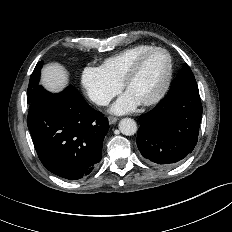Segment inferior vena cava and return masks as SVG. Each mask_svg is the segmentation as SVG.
<instances>
[{
	"label": "inferior vena cava",
	"instance_id": "1",
	"mask_svg": "<svg viewBox=\"0 0 232 232\" xmlns=\"http://www.w3.org/2000/svg\"><path fill=\"white\" fill-rule=\"evenodd\" d=\"M109 102H110V98L104 96L98 97L96 99V103L103 106L108 105Z\"/></svg>",
	"mask_w": 232,
	"mask_h": 232
}]
</instances>
